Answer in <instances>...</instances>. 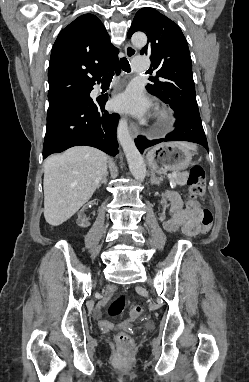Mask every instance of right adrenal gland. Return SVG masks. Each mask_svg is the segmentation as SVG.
<instances>
[{
	"label": "right adrenal gland",
	"mask_w": 249,
	"mask_h": 382,
	"mask_svg": "<svg viewBox=\"0 0 249 382\" xmlns=\"http://www.w3.org/2000/svg\"><path fill=\"white\" fill-rule=\"evenodd\" d=\"M107 176H108V172H106L104 174V176L102 177L101 181L99 182V184L97 185V189H99V187L103 184V183H106L107 182Z\"/></svg>",
	"instance_id": "1"
}]
</instances>
